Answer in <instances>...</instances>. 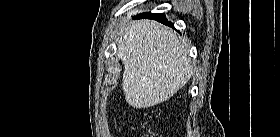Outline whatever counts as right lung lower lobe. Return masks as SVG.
<instances>
[{"mask_svg":"<svg viewBox=\"0 0 280 137\" xmlns=\"http://www.w3.org/2000/svg\"><path fill=\"white\" fill-rule=\"evenodd\" d=\"M136 18H149V19H154V20H157V21H159V22H162V23H164V24H167V25L173 27V24L170 23V22H168V21L166 20L165 16H164V14H162V13H160V14H158V13L152 14V13H150V12H148V13H142V14L136 16Z\"/></svg>","mask_w":280,"mask_h":137,"instance_id":"right-lung-lower-lobe-1","label":"right lung lower lobe"}]
</instances>
